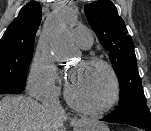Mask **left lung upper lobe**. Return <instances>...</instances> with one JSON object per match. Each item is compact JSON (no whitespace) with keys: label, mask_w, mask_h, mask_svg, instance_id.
Here are the masks:
<instances>
[{"label":"left lung upper lobe","mask_w":151,"mask_h":131,"mask_svg":"<svg viewBox=\"0 0 151 131\" xmlns=\"http://www.w3.org/2000/svg\"><path fill=\"white\" fill-rule=\"evenodd\" d=\"M84 10L100 43L109 50V57L120 83L119 107L135 99L146 102L134 44L114 4L109 0H99L86 4Z\"/></svg>","instance_id":"5c2ea615"}]
</instances>
